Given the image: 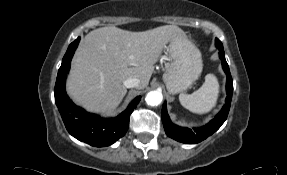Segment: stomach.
<instances>
[{"instance_id":"obj_1","label":"stomach","mask_w":287,"mask_h":175,"mask_svg":"<svg viewBox=\"0 0 287 175\" xmlns=\"http://www.w3.org/2000/svg\"><path fill=\"white\" fill-rule=\"evenodd\" d=\"M171 63L163 74L171 94L187 90L202 72L201 52L185 34L174 36L167 47Z\"/></svg>"}]
</instances>
